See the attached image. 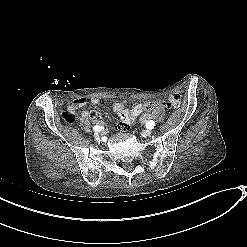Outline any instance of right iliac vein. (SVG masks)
I'll list each match as a JSON object with an SVG mask.
<instances>
[{
  "label": "right iliac vein",
  "mask_w": 247,
  "mask_h": 247,
  "mask_svg": "<svg viewBox=\"0 0 247 247\" xmlns=\"http://www.w3.org/2000/svg\"><path fill=\"white\" fill-rule=\"evenodd\" d=\"M94 137H95V139H97V140H99L100 139V135H99V133H94Z\"/></svg>",
  "instance_id": "1"
}]
</instances>
